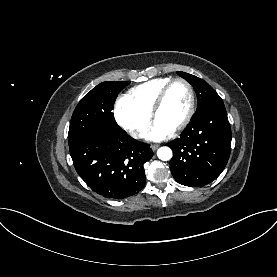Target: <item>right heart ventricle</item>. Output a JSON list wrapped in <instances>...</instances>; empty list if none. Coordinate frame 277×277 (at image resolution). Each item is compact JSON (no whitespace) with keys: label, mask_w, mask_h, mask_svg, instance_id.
<instances>
[{"label":"right heart ventricle","mask_w":277,"mask_h":277,"mask_svg":"<svg viewBox=\"0 0 277 277\" xmlns=\"http://www.w3.org/2000/svg\"><path fill=\"white\" fill-rule=\"evenodd\" d=\"M170 80L169 77L149 80L132 87L128 91L127 97L140 111L150 115L156 97Z\"/></svg>","instance_id":"1"}]
</instances>
